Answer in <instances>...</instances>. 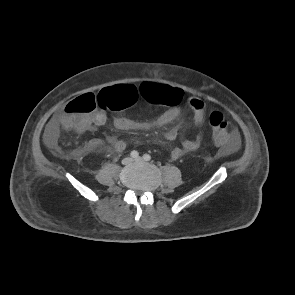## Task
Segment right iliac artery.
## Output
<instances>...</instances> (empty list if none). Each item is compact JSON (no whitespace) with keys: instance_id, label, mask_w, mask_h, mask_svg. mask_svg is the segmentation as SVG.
Wrapping results in <instances>:
<instances>
[{"instance_id":"obj_1","label":"right iliac artery","mask_w":295,"mask_h":295,"mask_svg":"<svg viewBox=\"0 0 295 295\" xmlns=\"http://www.w3.org/2000/svg\"><path fill=\"white\" fill-rule=\"evenodd\" d=\"M131 157L132 158H137L139 156V153L135 150H133L131 153H130Z\"/></svg>"}]
</instances>
